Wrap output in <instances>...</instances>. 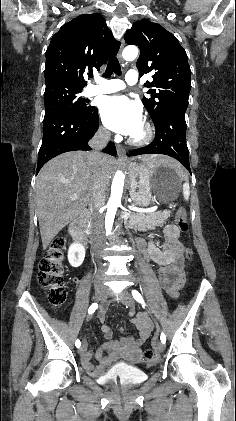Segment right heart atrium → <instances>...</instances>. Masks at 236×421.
I'll list each match as a JSON object with an SVG mask.
<instances>
[{
	"label": "right heart atrium",
	"instance_id": "1",
	"mask_svg": "<svg viewBox=\"0 0 236 421\" xmlns=\"http://www.w3.org/2000/svg\"><path fill=\"white\" fill-rule=\"evenodd\" d=\"M99 132H100V134H102V135H108V131H107V129H106L104 126H102V127L100 128Z\"/></svg>",
	"mask_w": 236,
	"mask_h": 421
}]
</instances>
